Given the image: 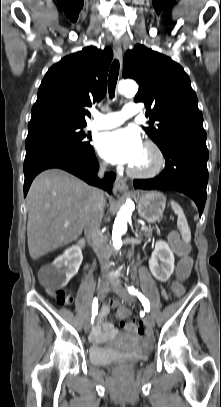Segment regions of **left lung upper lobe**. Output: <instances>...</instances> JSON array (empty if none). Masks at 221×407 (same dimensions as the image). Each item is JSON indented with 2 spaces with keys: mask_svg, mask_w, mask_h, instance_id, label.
Returning <instances> with one entry per match:
<instances>
[{
  "mask_svg": "<svg viewBox=\"0 0 221 407\" xmlns=\"http://www.w3.org/2000/svg\"><path fill=\"white\" fill-rule=\"evenodd\" d=\"M123 77L139 83L135 101L143 102L150 116L149 126L143 129L160 149L178 130H204L190 79L171 58L137 44L124 56Z\"/></svg>",
  "mask_w": 221,
  "mask_h": 407,
  "instance_id": "1",
  "label": "left lung upper lobe"
}]
</instances>
